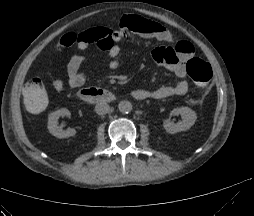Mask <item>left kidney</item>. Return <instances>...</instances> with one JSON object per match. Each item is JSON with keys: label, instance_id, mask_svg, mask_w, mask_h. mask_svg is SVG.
I'll return each instance as SVG.
<instances>
[{"label": "left kidney", "instance_id": "obj_1", "mask_svg": "<svg viewBox=\"0 0 254 216\" xmlns=\"http://www.w3.org/2000/svg\"><path fill=\"white\" fill-rule=\"evenodd\" d=\"M171 114H180L182 116V120L177 123H173L169 119H166L164 121L163 127L169 134H175L181 131L188 130L194 125L197 119L195 111H193L189 107L174 108Z\"/></svg>", "mask_w": 254, "mask_h": 216}]
</instances>
